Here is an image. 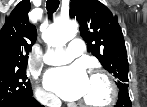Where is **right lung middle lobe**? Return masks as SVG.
Listing matches in <instances>:
<instances>
[{"label":"right lung middle lobe","instance_id":"dd1d6c3e","mask_svg":"<svg viewBox=\"0 0 147 107\" xmlns=\"http://www.w3.org/2000/svg\"><path fill=\"white\" fill-rule=\"evenodd\" d=\"M32 95L26 66L0 73V107Z\"/></svg>","mask_w":147,"mask_h":107}]
</instances>
